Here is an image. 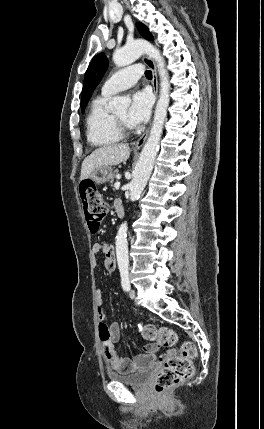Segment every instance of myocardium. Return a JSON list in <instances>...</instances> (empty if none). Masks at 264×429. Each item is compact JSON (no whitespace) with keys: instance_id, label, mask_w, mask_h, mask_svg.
<instances>
[{"instance_id":"1","label":"myocardium","mask_w":264,"mask_h":429,"mask_svg":"<svg viewBox=\"0 0 264 429\" xmlns=\"http://www.w3.org/2000/svg\"><path fill=\"white\" fill-rule=\"evenodd\" d=\"M112 119L117 131L120 133L121 136L128 135L131 132L130 126L127 123L118 119L115 114H112Z\"/></svg>"}]
</instances>
